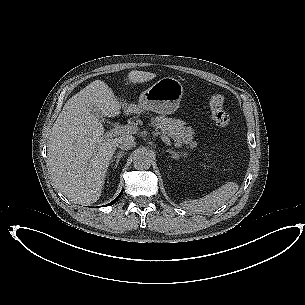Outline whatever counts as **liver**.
I'll return each instance as SVG.
<instances>
[{"mask_svg":"<svg viewBox=\"0 0 305 305\" xmlns=\"http://www.w3.org/2000/svg\"><path fill=\"white\" fill-rule=\"evenodd\" d=\"M120 109L111 88L100 80L65 103L52 127L47 155L54 183L69 198L91 204L100 197L120 137L104 133L98 117L118 116Z\"/></svg>","mask_w":305,"mask_h":305,"instance_id":"6515ba94","label":"liver"}]
</instances>
